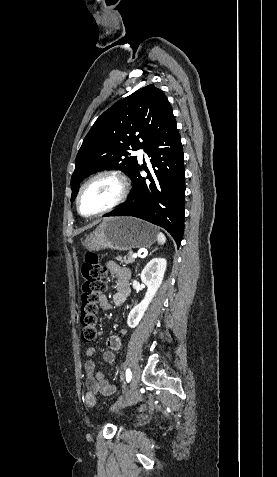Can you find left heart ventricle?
Masks as SVG:
<instances>
[{
  "instance_id": "left-heart-ventricle-1",
  "label": "left heart ventricle",
  "mask_w": 277,
  "mask_h": 477,
  "mask_svg": "<svg viewBox=\"0 0 277 477\" xmlns=\"http://www.w3.org/2000/svg\"><path fill=\"white\" fill-rule=\"evenodd\" d=\"M119 194V185L112 178L104 177L91 183L81 197V210L92 214L110 205Z\"/></svg>"
}]
</instances>
